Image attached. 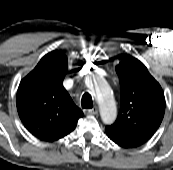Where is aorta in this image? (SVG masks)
Here are the masks:
<instances>
[{
  "label": "aorta",
  "instance_id": "762f6f07",
  "mask_svg": "<svg viewBox=\"0 0 173 170\" xmlns=\"http://www.w3.org/2000/svg\"><path fill=\"white\" fill-rule=\"evenodd\" d=\"M88 86L98 103L102 121L105 124H112L117 116V108L109 87L97 77H94Z\"/></svg>",
  "mask_w": 173,
  "mask_h": 170
}]
</instances>
